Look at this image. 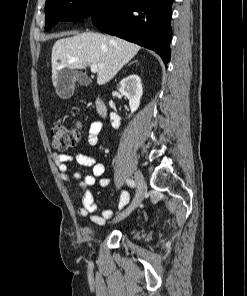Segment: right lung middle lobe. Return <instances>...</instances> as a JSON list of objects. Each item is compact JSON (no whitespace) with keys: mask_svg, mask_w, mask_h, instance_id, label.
Listing matches in <instances>:
<instances>
[{"mask_svg":"<svg viewBox=\"0 0 247 296\" xmlns=\"http://www.w3.org/2000/svg\"><path fill=\"white\" fill-rule=\"evenodd\" d=\"M111 0H47L46 26L50 30L59 21H80L94 13L104 12Z\"/></svg>","mask_w":247,"mask_h":296,"instance_id":"1","label":"right lung middle lobe"}]
</instances>
